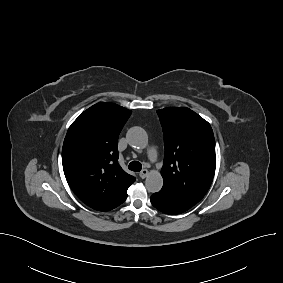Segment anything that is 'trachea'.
I'll list each match as a JSON object with an SVG mask.
<instances>
[{
  "label": "trachea",
  "instance_id": "trachea-1",
  "mask_svg": "<svg viewBox=\"0 0 283 283\" xmlns=\"http://www.w3.org/2000/svg\"><path fill=\"white\" fill-rule=\"evenodd\" d=\"M128 168H129L130 170L134 171V172H139V171H141V169H142V165H141V163L138 162V161H132V162L129 164Z\"/></svg>",
  "mask_w": 283,
  "mask_h": 283
}]
</instances>
